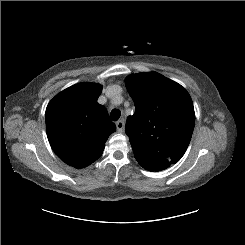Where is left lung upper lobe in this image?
I'll use <instances>...</instances> for the list:
<instances>
[{
    "mask_svg": "<svg viewBox=\"0 0 245 245\" xmlns=\"http://www.w3.org/2000/svg\"><path fill=\"white\" fill-rule=\"evenodd\" d=\"M136 111L128 117L126 134L138 163L161 171L184 155L194 129L192 99L184 87L157 72L125 79Z\"/></svg>",
    "mask_w": 245,
    "mask_h": 245,
    "instance_id": "left-lung-upper-lobe-1",
    "label": "left lung upper lobe"
}]
</instances>
